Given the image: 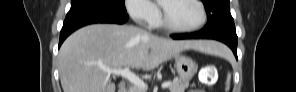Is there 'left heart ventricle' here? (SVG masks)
Segmentation results:
<instances>
[{
    "mask_svg": "<svg viewBox=\"0 0 296 92\" xmlns=\"http://www.w3.org/2000/svg\"><path fill=\"white\" fill-rule=\"evenodd\" d=\"M166 12L170 22L181 28L193 27L201 18L198 6L189 0L167 2Z\"/></svg>",
    "mask_w": 296,
    "mask_h": 92,
    "instance_id": "b2bd125f",
    "label": "left heart ventricle"
}]
</instances>
